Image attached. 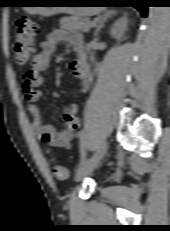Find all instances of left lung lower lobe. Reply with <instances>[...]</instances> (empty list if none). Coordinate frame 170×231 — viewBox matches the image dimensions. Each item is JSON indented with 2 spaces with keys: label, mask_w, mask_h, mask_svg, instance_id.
Wrapping results in <instances>:
<instances>
[{
  "label": "left lung lower lobe",
  "mask_w": 170,
  "mask_h": 231,
  "mask_svg": "<svg viewBox=\"0 0 170 231\" xmlns=\"http://www.w3.org/2000/svg\"><path fill=\"white\" fill-rule=\"evenodd\" d=\"M100 3L104 6L135 7L144 17L147 15L149 6V0H100Z\"/></svg>",
  "instance_id": "obj_1"
}]
</instances>
